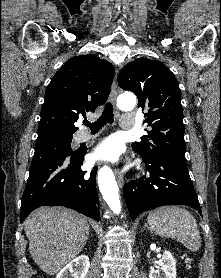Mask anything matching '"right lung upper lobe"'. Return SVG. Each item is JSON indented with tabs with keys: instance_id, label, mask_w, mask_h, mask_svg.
Here are the masks:
<instances>
[{
	"instance_id": "cb5924a9",
	"label": "right lung upper lobe",
	"mask_w": 221,
	"mask_h": 278,
	"mask_svg": "<svg viewBox=\"0 0 221 278\" xmlns=\"http://www.w3.org/2000/svg\"><path fill=\"white\" fill-rule=\"evenodd\" d=\"M113 76L112 64L95 55L68 60L46 89L36 144L72 137L79 116L107 100Z\"/></svg>"
}]
</instances>
